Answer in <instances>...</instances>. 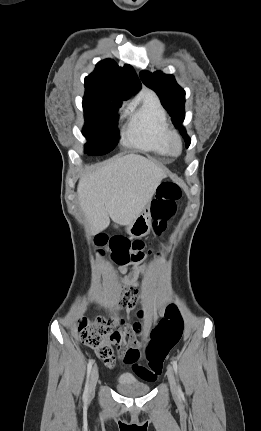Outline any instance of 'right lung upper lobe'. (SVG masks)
Wrapping results in <instances>:
<instances>
[{
  "label": "right lung upper lobe",
  "mask_w": 261,
  "mask_h": 431,
  "mask_svg": "<svg viewBox=\"0 0 261 431\" xmlns=\"http://www.w3.org/2000/svg\"><path fill=\"white\" fill-rule=\"evenodd\" d=\"M85 89L113 94L124 100L141 89V83L130 65L119 67L114 60L100 61L85 78Z\"/></svg>",
  "instance_id": "cb5924a9"
}]
</instances>
